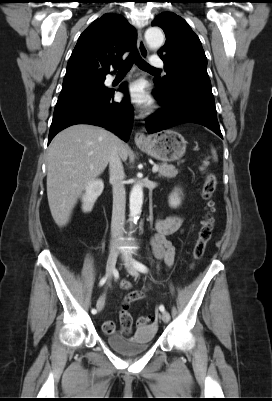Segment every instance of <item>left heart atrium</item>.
Instances as JSON below:
<instances>
[{
  "instance_id": "left-heart-atrium-1",
  "label": "left heart atrium",
  "mask_w": 272,
  "mask_h": 401,
  "mask_svg": "<svg viewBox=\"0 0 272 401\" xmlns=\"http://www.w3.org/2000/svg\"><path fill=\"white\" fill-rule=\"evenodd\" d=\"M125 97L140 107L148 106L151 103V99L141 83L132 84L127 90Z\"/></svg>"
}]
</instances>
